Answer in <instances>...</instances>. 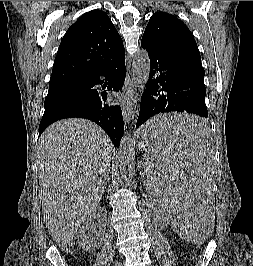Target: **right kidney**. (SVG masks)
<instances>
[{"mask_svg": "<svg viewBox=\"0 0 253 266\" xmlns=\"http://www.w3.org/2000/svg\"><path fill=\"white\" fill-rule=\"evenodd\" d=\"M94 217L87 218L78 227L77 239L79 245L86 251H94L100 247L103 241V234L93 236Z\"/></svg>", "mask_w": 253, "mask_h": 266, "instance_id": "ca27d5eb", "label": "right kidney"}]
</instances>
